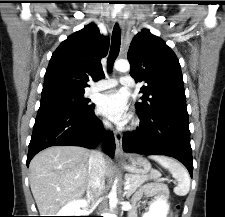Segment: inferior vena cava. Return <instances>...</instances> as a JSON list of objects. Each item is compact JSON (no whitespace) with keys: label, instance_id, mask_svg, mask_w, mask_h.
I'll use <instances>...</instances> for the list:
<instances>
[{"label":"inferior vena cava","instance_id":"602c4592","mask_svg":"<svg viewBox=\"0 0 225 217\" xmlns=\"http://www.w3.org/2000/svg\"><path fill=\"white\" fill-rule=\"evenodd\" d=\"M106 128L111 125L105 122ZM105 185V161L103 153L99 150H92L89 157V181L87 196L93 202H98Z\"/></svg>","mask_w":225,"mask_h":217}]
</instances>
